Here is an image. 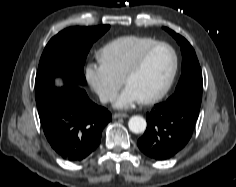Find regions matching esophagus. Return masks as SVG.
I'll return each instance as SVG.
<instances>
[{"label": "esophagus", "mask_w": 236, "mask_h": 187, "mask_svg": "<svg viewBox=\"0 0 236 187\" xmlns=\"http://www.w3.org/2000/svg\"><path fill=\"white\" fill-rule=\"evenodd\" d=\"M126 117H128V114H126V113H115V114H113V118H114V119H117V118H126Z\"/></svg>", "instance_id": "34e87169"}]
</instances>
